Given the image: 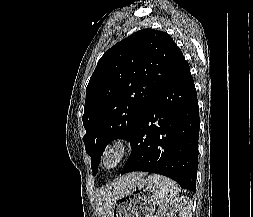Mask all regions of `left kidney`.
<instances>
[{
	"label": "left kidney",
	"instance_id": "5707ae66",
	"mask_svg": "<svg viewBox=\"0 0 253 217\" xmlns=\"http://www.w3.org/2000/svg\"><path fill=\"white\" fill-rule=\"evenodd\" d=\"M192 202L188 198L174 199L159 212L158 217H190Z\"/></svg>",
	"mask_w": 253,
	"mask_h": 217
}]
</instances>
